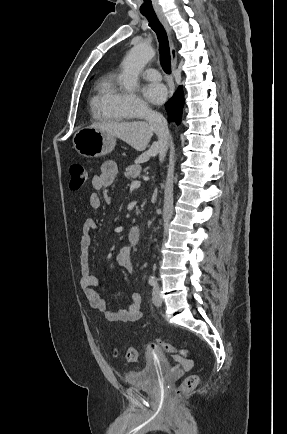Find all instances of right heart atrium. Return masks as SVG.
<instances>
[{"mask_svg": "<svg viewBox=\"0 0 287 434\" xmlns=\"http://www.w3.org/2000/svg\"><path fill=\"white\" fill-rule=\"evenodd\" d=\"M119 103L123 111L129 116H139L152 112L149 105L136 93H121Z\"/></svg>", "mask_w": 287, "mask_h": 434, "instance_id": "right-heart-atrium-1", "label": "right heart atrium"}]
</instances>
